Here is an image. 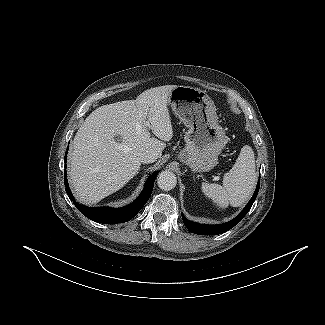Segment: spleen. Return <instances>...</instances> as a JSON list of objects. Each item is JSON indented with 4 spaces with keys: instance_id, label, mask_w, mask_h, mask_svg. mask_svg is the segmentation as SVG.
Here are the masks:
<instances>
[{
    "instance_id": "obj_1",
    "label": "spleen",
    "mask_w": 325,
    "mask_h": 325,
    "mask_svg": "<svg viewBox=\"0 0 325 325\" xmlns=\"http://www.w3.org/2000/svg\"><path fill=\"white\" fill-rule=\"evenodd\" d=\"M256 183L252 148L243 146L232 169L224 174L223 185L202 183V192L217 206H241L252 194Z\"/></svg>"
}]
</instances>
